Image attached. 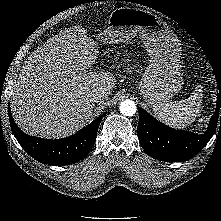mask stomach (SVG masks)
Listing matches in <instances>:
<instances>
[{"mask_svg": "<svg viewBox=\"0 0 221 221\" xmlns=\"http://www.w3.org/2000/svg\"><path fill=\"white\" fill-rule=\"evenodd\" d=\"M137 34L150 57L138 89L148 105H164L183 84L179 64L181 44L166 22L151 12L121 7L112 11L108 27L95 39L121 43L132 40Z\"/></svg>", "mask_w": 221, "mask_h": 221, "instance_id": "obj_1", "label": "stomach"}]
</instances>
